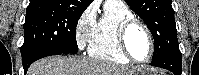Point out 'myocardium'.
Segmentation results:
<instances>
[{"label": "myocardium", "instance_id": "myocardium-1", "mask_svg": "<svg viewBox=\"0 0 199 75\" xmlns=\"http://www.w3.org/2000/svg\"><path fill=\"white\" fill-rule=\"evenodd\" d=\"M133 26L141 27L144 30V32L146 33L147 38L149 40L150 50H149L147 57L143 60L135 59L132 56V54L130 53L128 46H127V35H128L129 30ZM117 40H118L119 47L122 50L123 54L133 63H136V64L148 63L150 61L151 57L153 56L154 49H155L153 36H152L151 31L149 30L148 26L144 22H142L140 19L131 17V18H128V19L124 20L123 22H121L117 29Z\"/></svg>", "mask_w": 199, "mask_h": 75}]
</instances>
